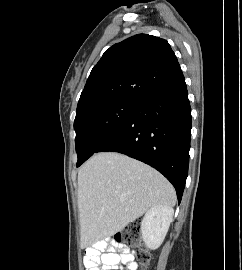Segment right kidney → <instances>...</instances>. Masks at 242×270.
<instances>
[{
	"instance_id": "right-kidney-1",
	"label": "right kidney",
	"mask_w": 242,
	"mask_h": 270,
	"mask_svg": "<svg viewBox=\"0 0 242 270\" xmlns=\"http://www.w3.org/2000/svg\"><path fill=\"white\" fill-rule=\"evenodd\" d=\"M173 214V208L164 205H156L146 212L141 221V233L148 248L157 249L162 244Z\"/></svg>"
}]
</instances>
